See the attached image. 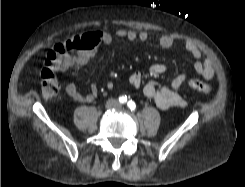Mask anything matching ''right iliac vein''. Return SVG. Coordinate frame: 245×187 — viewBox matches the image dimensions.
<instances>
[{
  "label": "right iliac vein",
  "mask_w": 245,
  "mask_h": 187,
  "mask_svg": "<svg viewBox=\"0 0 245 187\" xmlns=\"http://www.w3.org/2000/svg\"><path fill=\"white\" fill-rule=\"evenodd\" d=\"M116 105H117V104H116L115 101L110 100V101H108V102L106 103V108H108V109L115 108Z\"/></svg>",
  "instance_id": "1"
}]
</instances>
